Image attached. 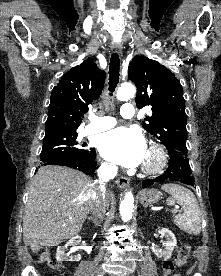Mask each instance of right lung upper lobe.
I'll use <instances>...</instances> for the list:
<instances>
[{"mask_svg":"<svg viewBox=\"0 0 221 276\" xmlns=\"http://www.w3.org/2000/svg\"><path fill=\"white\" fill-rule=\"evenodd\" d=\"M105 72L88 59L65 73L51 93L45 134L75 132L88 112V105L99 98Z\"/></svg>","mask_w":221,"mask_h":276,"instance_id":"right-lung-upper-lobe-1","label":"right lung upper lobe"}]
</instances>
